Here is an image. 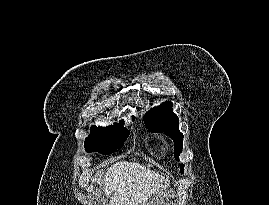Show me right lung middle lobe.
Instances as JSON below:
<instances>
[{"instance_id": "obj_1", "label": "right lung middle lobe", "mask_w": 269, "mask_h": 205, "mask_svg": "<svg viewBox=\"0 0 269 205\" xmlns=\"http://www.w3.org/2000/svg\"><path fill=\"white\" fill-rule=\"evenodd\" d=\"M128 135L129 131L123 126V121L104 128L93 126L85 139V150L108 155L122 148Z\"/></svg>"}]
</instances>
